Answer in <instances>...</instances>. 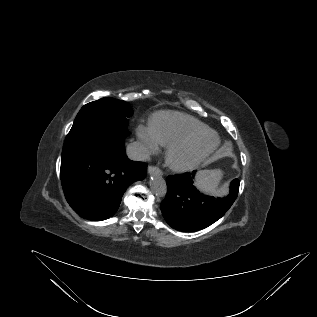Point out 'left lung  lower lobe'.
Instances as JSON below:
<instances>
[{
	"label": "left lung lower lobe",
	"mask_w": 317,
	"mask_h": 317,
	"mask_svg": "<svg viewBox=\"0 0 317 317\" xmlns=\"http://www.w3.org/2000/svg\"><path fill=\"white\" fill-rule=\"evenodd\" d=\"M195 171L169 176L167 194L161 203L166 222L179 231L204 229L220 219L235 201L240 182L235 179L230 185V194L222 199L201 194L193 186Z\"/></svg>",
	"instance_id": "obj_1"
}]
</instances>
